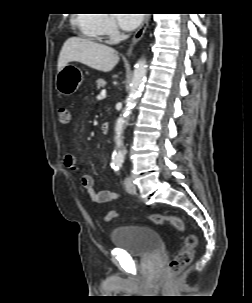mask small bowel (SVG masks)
Wrapping results in <instances>:
<instances>
[{
  "mask_svg": "<svg viewBox=\"0 0 252 303\" xmlns=\"http://www.w3.org/2000/svg\"><path fill=\"white\" fill-rule=\"evenodd\" d=\"M64 164L66 168L72 172H76L78 170L76 157L72 153L65 155ZM80 183L82 188L89 194L91 202L95 204L107 203L112 200H116L119 197L117 193L109 190L95 191L94 181L90 175H82L80 177Z\"/></svg>",
  "mask_w": 252,
  "mask_h": 303,
  "instance_id": "1",
  "label": "small bowel"
}]
</instances>
